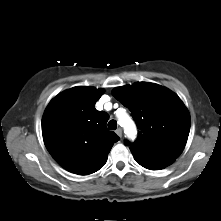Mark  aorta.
Listing matches in <instances>:
<instances>
[{
    "label": "aorta",
    "instance_id": "aorta-1",
    "mask_svg": "<svg viewBox=\"0 0 221 221\" xmlns=\"http://www.w3.org/2000/svg\"><path fill=\"white\" fill-rule=\"evenodd\" d=\"M120 124L125 128V132L128 135V137L134 139L136 135V128L132 120L124 116L120 119Z\"/></svg>",
    "mask_w": 221,
    "mask_h": 221
}]
</instances>
